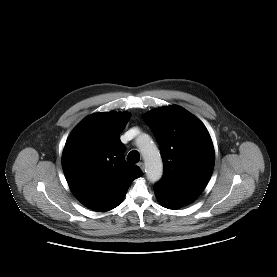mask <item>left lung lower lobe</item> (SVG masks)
<instances>
[{
    "label": "left lung lower lobe",
    "mask_w": 277,
    "mask_h": 277,
    "mask_svg": "<svg viewBox=\"0 0 277 277\" xmlns=\"http://www.w3.org/2000/svg\"><path fill=\"white\" fill-rule=\"evenodd\" d=\"M154 191L158 200L169 209H178L194 201L198 195L177 192L160 184L154 185Z\"/></svg>",
    "instance_id": "obj_1"
}]
</instances>
